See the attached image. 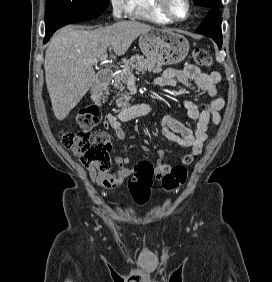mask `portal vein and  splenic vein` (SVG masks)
I'll use <instances>...</instances> for the list:
<instances>
[{
  "label": "portal vein and splenic vein",
  "mask_w": 272,
  "mask_h": 282,
  "mask_svg": "<svg viewBox=\"0 0 272 282\" xmlns=\"http://www.w3.org/2000/svg\"><path fill=\"white\" fill-rule=\"evenodd\" d=\"M107 57H108V55L104 54L98 60H96L95 62H98V61L104 62V61H106ZM130 75H132V73Z\"/></svg>",
  "instance_id": "obj_1"
}]
</instances>
